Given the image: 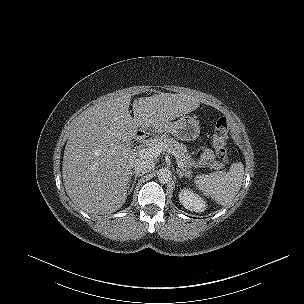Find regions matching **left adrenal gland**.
I'll return each instance as SVG.
<instances>
[{"instance_id": "left-adrenal-gland-1", "label": "left adrenal gland", "mask_w": 304, "mask_h": 304, "mask_svg": "<svg viewBox=\"0 0 304 304\" xmlns=\"http://www.w3.org/2000/svg\"><path fill=\"white\" fill-rule=\"evenodd\" d=\"M176 173L178 174L179 178H182L184 176L189 178L190 176V171L186 169L183 170L176 169Z\"/></svg>"}]
</instances>
